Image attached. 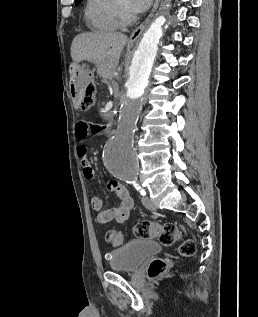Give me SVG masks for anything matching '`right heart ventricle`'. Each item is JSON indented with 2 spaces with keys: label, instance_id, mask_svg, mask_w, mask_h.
<instances>
[{
  "label": "right heart ventricle",
  "instance_id": "obj_1",
  "mask_svg": "<svg viewBox=\"0 0 258 317\" xmlns=\"http://www.w3.org/2000/svg\"><path fill=\"white\" fill-rule=\"evenodd\" d=\"M121 0H88L84 15L89 26L97 32H113L119 28L116 10Z\"/></svg>",
  "mask_w": 258,
  "mask_h": 317
}]
</instances>
